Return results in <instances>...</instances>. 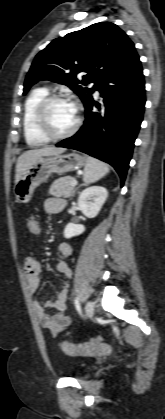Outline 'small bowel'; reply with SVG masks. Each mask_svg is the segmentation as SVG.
Returning <instances> with one entry per match:
<instances>
[{
    "instance_id": "small-bowel-1",
    "label": "small bowel",
    "mask_w": 165,
    "mask_h": 419,
    "mask_svg": "<svg viewBox=\"0 0 165 419\" xmlns=\"http://www.w3.org/2000/svg\"><path fill=\"white\" fill-rule=\"evenodd\" d=\"M65 206L66 202L61 198H49L44 202V210L48 214H59L64 210ZM39 232L40 226L37 232L30 233L37 235ZM57 253L59 257L56 263L57 272L66 278H70L72 271L66 260L73 253L72 247L68 243H61L58 245ZM41 272L42 267L40 262L33 256L27 257L24 265V274L27 289L31 295H35L38 292ZM67 300L68 286L65 284L54 300H48L44 303L39 301L33 302V307L41 326L53 336L59 335L72 322V319L64 314L67 307Z\"/></svg>"
}]
</instances>
